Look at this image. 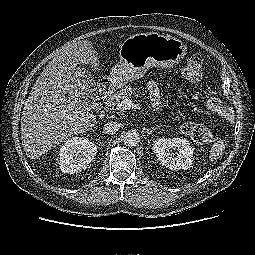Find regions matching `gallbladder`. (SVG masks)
Returning <instances> with one entry per match:
<instances>
[{
	"mask_svg": "<svg viewBox=\"0 0 255 255\" xmlns=\"http://www.w3.org/2000/svg\"><path fill=\"white\" fill-rule=\"evenodd\" d=\"M73 84L85 97H90L96 91V82L84 67H76L73 71Z\"/></svg>",
	"mask_w": 255,
	"mask_h": 255,
	"instance_id": "1",
	"label": "gallbladder"
}]
</instances>
